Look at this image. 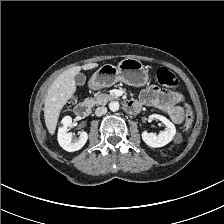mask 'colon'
<instances>
[{
	"label": "colon",
	"mask_w": 224,
	"mask_h": 224,
	"mask_svg": "<svg viewBox=\"0 0 224 224\" xmlns=\"http://www.w3.org/2000/svg\"><path fill=\"white\" fill-rule=\"evenodd\" d=\"M157 81L159 84L171 88L176 87L178 84L177 77L165 67L158 68ZM182 111L185 119V127L189 128L191 125V113L187 104L182 105Z\"/></svg>",
	"instance_id": "colon-1"
}]
</instances>
